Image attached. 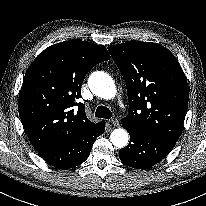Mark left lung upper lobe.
I'll return each instance as SVG.
<instances>
[{"mask_svg":"<svg viewBox=\"0 0 206 206\" xmlns=\"http://www.w3.org/2000/svg\"><path fill=\"white\" fill-rule=\"evenodd\" d=\"M108 50L128 91L122 125L177 142L188 108V84L177 59L157 43L129 41Z\"/></svg>","mask_w":206,"mask_h":206,"instance_id":"5c2ea615","label":"left lung upper lobe"}]
</instances>
